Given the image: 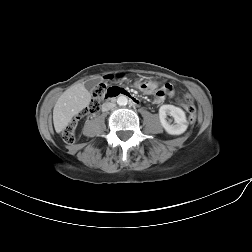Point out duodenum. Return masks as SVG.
<instances>
[{
    "mask_svg": "<svg viewBox=\"0 0 252 252\" xmlns=\"http://www.w3.org/2000/svg\"><path fill=\"white\" fill-rule=\"evenodd\" d=\"M118 96L127 97L133 105H138L140 103L136 96H134L133 94L129 93L128 91H126L124 89H121V90L117 91L116 93L110 94L109 96H107L106 99L111 100V99H114ZM104 106H105V104H104Z\"/></svg>",
    "mask_w": 252,
    "mask_h": 252,
    "instance_id": "1",
    "label": "duodenum"
}]
</instances>
